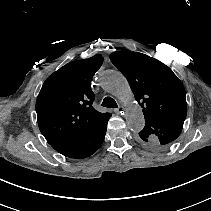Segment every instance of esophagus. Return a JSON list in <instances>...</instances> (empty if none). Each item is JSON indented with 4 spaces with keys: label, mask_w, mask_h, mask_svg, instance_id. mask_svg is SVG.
I'll return each instance as SVG.
<instances>
[{
    "label": "esophagus",
    "mask_w": 211,
    "mask_h": 211,
    "mask_svg": "<svg viewBox=\"0 0 211 211\" xmlns=\"http://www.w3.org/2000/svg\"><path fill=\"white\" fill-rule=\"evenodd\" d=\"M114 112L116 114H121L122 112H124V108L122 106H119V107L114 109Z\"/></svg>",
    "instance_id": "34e87169"
}]
</instances>
